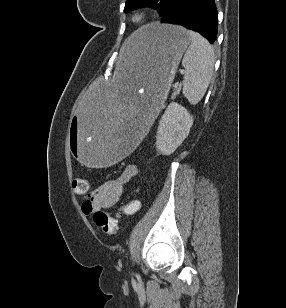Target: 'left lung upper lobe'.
I'll list each match as a JSON object with an SVG mask.
<instances>
[{"instance_id": "obj_1", "label": "left lung upper lobe", "mask_w": 286, "mask_h": 308, "mask_svg": "<svg viewBox=\"0 0 286 308\" xmlns=\"http://www.w3.org/2000/svg\"><path fill=\"white\" fill-rule=\"evenodd\" d=\"M172 0H127L124 12H128L140 7H153L162 15Z\"/></svg>"}]
</instances>
